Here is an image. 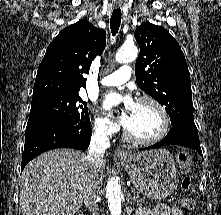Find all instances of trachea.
<instances>
[{
    "mask_svg": "<svg viewBox=\"0 0 221 215\" xmlns=\"http://www.w3.org/2000/svg\"><path fill=\"white\" fill-rule=\"evenodd\" d=\"M121 9H114L111 19H110V28H111V32L113 34V36L118 32L119 27H120V23H121Z\"/></svg>",
    "mask_w": 221,
    "mask_h": 215,
    "instance_id": "3493384b",
    "label": "trachea"
}]
</instances>
